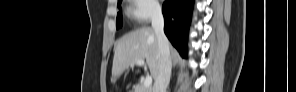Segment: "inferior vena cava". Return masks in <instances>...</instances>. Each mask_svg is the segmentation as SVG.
Listing matches in <instances>:
<instances>
[{
	"label": "inferior vena cava",
	"instance_id": "1",
	"mask_svg": "<svg viewBox=\"0 0 296 92\" xmlns=\"http://www.w3.org/2000/svg\"><path fill=\"white\" fill-rule=\"evenodd\" d=\"M151 23L159 48V73L155 78L153 92H166L171 76L172 61L169 41L164 33V18L159 6L153 9Z\"/></svg>",
	"mask_w": 296,
	"mask_h": 92
}]
</instances>
